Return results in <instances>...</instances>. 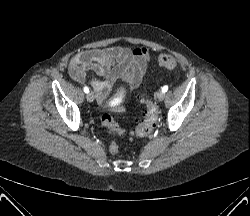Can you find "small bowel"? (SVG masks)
<instances>
[{"mask_svg":"<svg viewBox=\"0 0 250 216\" xmlns=\"http://www.w3.org/2000/svg\"><path fill=\"white\" fill-rule=\"evenodd\" d=\"M149 60V50L145 47L89 49L71 59L69 75L80 84L86 82L89 71L103 77L104 80L90 81L98 102L102 103L118 81L125 82L130 89L137 88L146 73Z\"/></svg>","mask_w":250,"mask_h":216,"instance_id":"c3829d8e","label":"small bowel"}]
</instances>
